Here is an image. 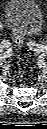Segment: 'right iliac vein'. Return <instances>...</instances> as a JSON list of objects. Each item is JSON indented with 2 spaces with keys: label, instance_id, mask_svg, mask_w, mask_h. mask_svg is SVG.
Wrapping results in <instances>:
<instances>
[{
  "label": "right iliac vein",
  "instance_id": "1",
  "mask_svg": "<svg viewBox=\"0 0 47 129\" xmlns=\"http://www.w3.org/2000/svg\"><path fill=\"white\" fill-rule=\"evenodd\" d=\"M9 46H10V44H8V45L1 44V49H7Z\"/></svg>",
  "mask_w": 47,
  "mask_h": 129
}]
</instances>
